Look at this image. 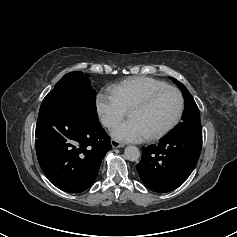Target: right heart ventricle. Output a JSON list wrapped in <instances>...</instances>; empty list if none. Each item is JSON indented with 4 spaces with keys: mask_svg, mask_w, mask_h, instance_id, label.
<instances>
[{
    "mask_svg": "<svg viewBox=\"0 0 237 237\" xmlns=\"http://www.w3.org/2000/svg\"><path fill=\"white\" fill-rule=\"evenodd\" d=\"M164 86L167 84L154 78L132 77L112 86L111 90L117 94L123 106L129 109L150 91Z\"/></svg>",
    "mask_w": 237,
    "mask_h": 237,
    "instance_id": "1",
    "label": "right heart ventricle"
}]
</instances>
